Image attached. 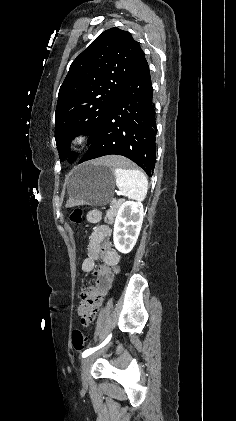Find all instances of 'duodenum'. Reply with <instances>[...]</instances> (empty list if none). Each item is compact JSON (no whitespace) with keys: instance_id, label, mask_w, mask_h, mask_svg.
<instances>
[{"instance_id":"obj_1","label":"duodenum","mask_w":236,"mask_h":421,"mask_svg":"<svg viewBox=\"0 0 236 421\" xmlns=\"http://www.w3.org/2000/svg\"><path fill=\"white\" fill-rule=\"evenodd\" d=\"M104 266L98 270L97 285L83 296L82 309L85 317L92 315L99 309L103 297L111 286L113 271L119 262V255L116 251L103 247L100 251ZM95 259L91 256V260Z\"/></svg>"}]
</instances>
